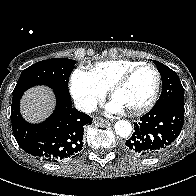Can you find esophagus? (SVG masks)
Masks as SVG:
<instances>
[{"label": "esophagus", "mask_w": 196, "mask_h": 196, "mask_svg": "<svg viewBox=\"0 0 196 196\" xmlns=\"http://www.w3.org/2000/svg\"><path fill=\"white\" fill-rule=\"evenodd\" d=\"M98 120H100V121H105V122H112L113 120H111V119H98Z\"/></svg>", "instance_id": "34e87169"}]
</instances>
